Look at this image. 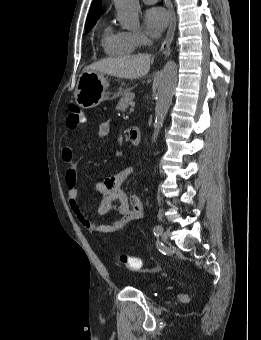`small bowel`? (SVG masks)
I'll return each instance as SVG.
<instances>
[{
  "label": "small bowel",
  "mask_w": 261,
  "mask_h": 340,
  "mask_svg": "<svg viewBox=\"0 0 261 340\" xmlns=\"http://www.w3.org/2000/svg\"><path fill=\"white\" fill-rule=\"evenodd\" d=\"M110 129V123L103 121L97 126L96 134L100 138H105L109 136ZM61 157L68 164L66 183L68 186L69 205L75 217L85 229L97 234L115 233L141 218L143 209L141 199L135 194L127 196L121 188L123 182L132 174V167H127L95 184V191L101 196L96 214L99 216L105 215L109 212L113 203L117 202V211L120 215V218L116 221L95 222L85 212L79 200L73 149L68 145L63 146Z\"/></svg>",
  "instance_id": "c3829d8e"
}]
</instances>
